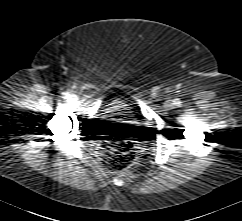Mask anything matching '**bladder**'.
Listing matches in <instances>:
<instances>
[{
  "instance_id": "1",
  "label": "bladder",
  "mask_w": 242,
  "mask_h": 221,
  "mask_svg": "<svg viewBox=\"0 0 242 221\" xmlns=\"http://www.w3.org/2000/svg\"><path fill=\"white\" fill-rule=\"evenodd\" d=\"M106 110L112 114H122V113L130 112L132 108L128 103L118 101L110 105H107Z\"/></svg>"
}]
</instances>
